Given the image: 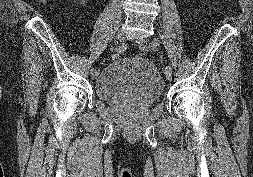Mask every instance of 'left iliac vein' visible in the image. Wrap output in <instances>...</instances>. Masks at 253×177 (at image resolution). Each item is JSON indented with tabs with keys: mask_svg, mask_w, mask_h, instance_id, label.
I'll list each match as a JSON object with an SVG mask.
<instances>
[{
	"mask_svg": "<svg viewBox=\"0 0 253 177\" xmlns=\"http://www.w3.org/2000/svg\"><path fill=\"white\" fill-rule=\"evenodd\" d=\"M136 43H137V46H138L141 50H147V47H146L147 41H146L145 39H143V38L138 39V40L136 41ZM165 76H166V79H167L168 81H171V80H172V72H171V71H165Z\"/></svg>",
	"mask_w": 253,
	"mask_h": 177,
	"instance_id": "left-iliac-vein-1",
	"label": "left iliac vein"
}]
</instances>
